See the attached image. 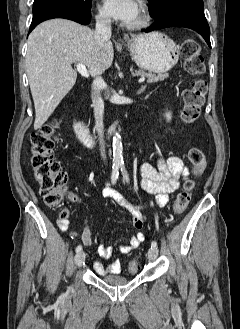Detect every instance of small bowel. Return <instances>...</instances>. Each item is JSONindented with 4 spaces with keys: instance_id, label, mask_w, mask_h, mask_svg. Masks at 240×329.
Masks as SVG:
<instances>
[{
    "instance_id": "obj_1",
    "label": "small bowel",
    "mask_w": 240,
    "mask_h": 329,
    "mask_svg": "<svg viewBox=\"0 0 240 329\" xmlns=\"http://www.w3.org/2000/svg\"><path fill=\"white\" fill-rule=\"evenodd\" d=\"M139 175L141 188L156 196V204L158 206H165L170 201L173 193L179 188L180 181L188 177L189 171L180 158L159 156L155 166L148 163L140 165ZM103 195L112 199L130 213L133 226L137 232L131 236L127 245L119 247V251L121 253L132 252L145 240V235L141 231L145 224V217L142 213V209L145 206L128 200L109 186L105 188ZM58 227L64 232L68 229V222L65 220L58 221ZM81 239L86 246L92 244V235L87 223L82 231ZM112 254V247L103 244L98 246L97 259L93 264V268L98 275L104 276L121 272V260L118 259L108 265H104L101 262V259H109Z\"/></svg>"
}]
</instances>
